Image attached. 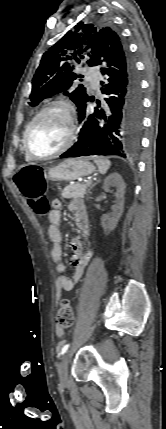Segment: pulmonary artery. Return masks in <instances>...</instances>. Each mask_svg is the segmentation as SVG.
<instances>
[{
    "instance_id": "pulmonary-artery-1",
    "label": "pulmonary artery",
    "mask_w": 166,
    "mask_h": 429,
    "mask_svg": "<svg viewBox=\"0 0 166 429\" xmlns=\"http://www.w3.org/2000/svg\"><path fill=\"white\" fill-rule=\"evenodd\" d=\"M99 74L95 73L94 71H89L87 73L86 79L89 82L92 89L97 90L99 87Z\"/></svg>"
}]
</instances>
